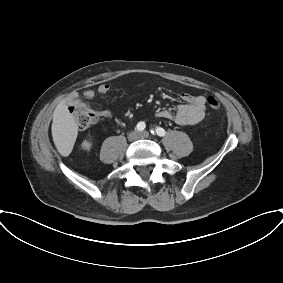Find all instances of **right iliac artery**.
Returning <instances> with one entry per match:
<instances>
[{
	"mask_svg": "<svg viewBox=\"0 0 283 283\" xmlns=\"http://www.w3.org/2000/svg\"><path fill=\"white\" fill-rule=\"evenodd\" d=\"M146 125L144 122H139L136 126L138 131H143L145 129Z\"/></svg>",
	"mask_w": 283,
	"mask_h": 283,
	"instance_id": "obj_1",
	"label": "right iliac artery"
}]
</instances>
